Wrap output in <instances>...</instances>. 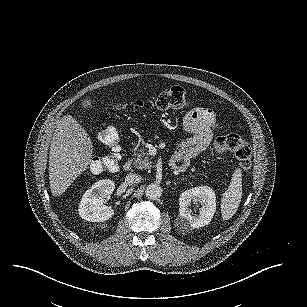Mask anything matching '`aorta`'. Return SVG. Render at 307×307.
Returning a JSON list of instances; mask_svg holds the SVG:
<instances>
[{"instance_id":"obj_1","label":"aorta","mask_w":307,"mask_h":307,"mask_svg":"<svg viewBox=\"0 0 307 307\" xmlns=\"http://www.w3.org/2000/svg\"><path fill=\"white\" fill-rule=\"evenodd\" d=\"M163 194V189L158 183H151L145 189V195L148 199L157 200Z\"/></svg>"}]
</instances>
